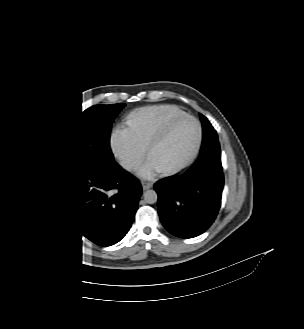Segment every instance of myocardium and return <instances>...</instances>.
<instances>
[{
    "label": "myocardium",
    "instance_id": "myocardium-1",
    "mask_svg": "<svg viewBox=\"0 0 304 329\" xmlns=\"http://www.w3.org/2000/svg\"><path fill=\"white\" fill-rule=\"evenodd\" d=\"M184 119H191L193 120L198 127V138L196 141V144L192 150V152L190 153V155L180 164L173 166V167H169L166 169H162V170H158V172L162 175H173L176 174L180 171H182L183 169H185L187 166H189L194 159L196 158V156L198 155L201 145H202V141H203V127L201 122L193 115H189V114H184L181 116H177L174 117L172 119H170L165 126L162 128V130L160 132H158L147 144L146 148H145V158L148 161L149 159V155L151 153V151L162 141H164L168 135L170 134L172 128L179 123L180 121L184 120Z\"/></svg>",
    "mask_w": 304,
    "mask_h": 329
}]
</instances>
